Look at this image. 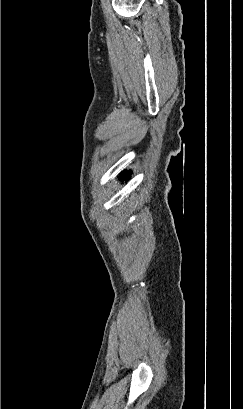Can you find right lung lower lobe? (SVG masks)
Masks as SVG:
<instances>
[{"mask_svg": "<svg viewBox=\"0 0 243 409\" xmlns=\"http://www.w3.org/2000/svg\"><path fill=\"white\" fill-rule=\"evenodd\" d=\"M125 174H127L126 171H124V172L121 174V177H122V178H126V177H125Z\"/></svg>", "mask_w": 243, "mask_h": 409, "instance_id": "98d812e1", "label": "right lung lower lobe"}]
</instances>
